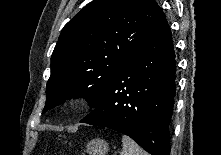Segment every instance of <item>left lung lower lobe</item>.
Masks as SVG:
<instances>
[{"mask_svg": "<svg viewBox=\"0 0 221 155\" xmlns=\"http://www.w3.org/2000/svg\"><path fill=\"white\" fill-rule=\"evenodd\" d=\"M175 78L171 30L162 12L117 72L104 97L80 122L130 136L151 155H170Z\"/></svg>", "mask_w": 221, "mask_h": 155, "instance_id": "obj_1", "label": "left lung lower lobe"}]
</instances>
